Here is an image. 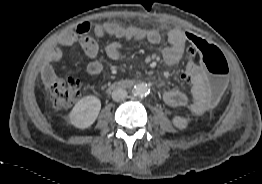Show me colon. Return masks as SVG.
I'll use <instances>...</instances> for the list:
<instances>
[{
    "label": "colon",
    "mask_w": 262,
    "mask_h": 184,
    "mask_svg": "<svg viewBox=\"0 0 262 184\" xmlns=\"http://www.w3.org/2000/svg\"><path fill=\"white\" fill-rule=\"evenodd\" d=\"M198 61L209 74L207 88L212 106L220 103L227 88L229 66L221 50L207 41L196 38L193 41ZM50 102L56 109L72 105L80 96L81 84L68 77H56L49 86Z\"/></svg>",
    "instance_id": "1"
}]
</instances>
